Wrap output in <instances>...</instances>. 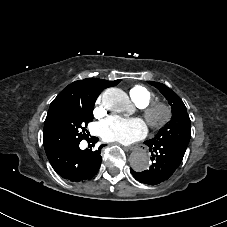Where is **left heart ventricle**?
Wrapping results in <instances>:
<instances>
[{"mask_svg": "<svg viewBox=\"0 0 227 227\" xmlns=\"http://www.w3.org/2000/svg\"><path fill=\"white\" fill-rule=\"evenodd\" d=\"M160 116H161V112H158V113L156 114V117L159 118Z\"/></svg>", "mask_w": 227, "mask_h": 227, "instance_id": "1", "label": "left heart ventricle"}]
</instances>
